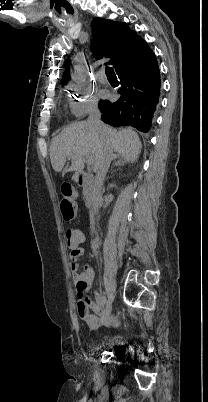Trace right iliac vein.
Wrapping results in <instances>:
<instances>
[{
  "label": "right iliac vein",
  "mask_w": 208,
  "mask_h": 402,
  "mask_svg": "<svg viewBox=\"0 0 208 402\" xmlns=\"http://www.w3.org/2000/svg\"><path fill=\"white\" fill-rule=\"evenodd\" d=\"M111 310H112V302L109 301V302L107 303V306H106V314H107V315H110Z\"/></svg>",
  "instance_id": "1"
}]
</instances>
